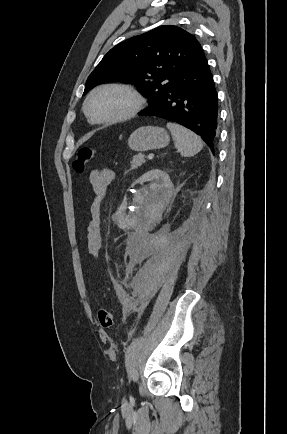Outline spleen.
Masks as SVG:
<instances>
[{"label":"spleen","instance_id":"spleen-1","mask_svg":"<svg viewBox=\"0 0 287 434\" xmlns=\"http://www.w3.org/2000/svg\"><path fill=\"white\" fill-rule=\"evenodd\" d=\"M167 128L170 130L175 147L181 156L191 157L202 150L203 142L192 131L174 123H167Z\"/></svg>","mask_w":287,"mask_h":434}]
</instances>
